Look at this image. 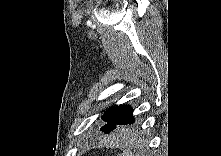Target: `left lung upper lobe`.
<instances>
[{
    "instance_id": "5c2ea615",
    "label": "left lung upper lobe",
    "mask_w": 221,
    "mask_h": 156,
    "mask_svg": "<svg viewBox=\"0 0 221 156\" xmlns=\"http://www.w3.org/2000/svg\"><path fill=\"white\" fill-rule=\"evenodd\" d=\"M102 120L105 125L101 127L104 133H110L119 125L132 124L134 122L133 111L129 105H113L104 112Z\"/></svg>"
}]
</instances>
